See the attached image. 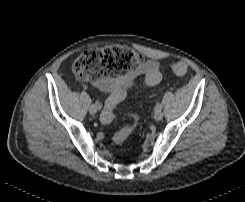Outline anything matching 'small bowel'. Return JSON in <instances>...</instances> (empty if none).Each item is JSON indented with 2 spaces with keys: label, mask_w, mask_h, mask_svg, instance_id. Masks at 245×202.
<instances>
[{
  "label": "small bowel",
  "mask_w": 245,
  "mask_h": 202,
  "mask_svg": "<svg viewBox=\"0 0 245 202\" xmlns=\"http://www.w3.org/2000/svg\"><path fill=\"white\" fill-rule=\"evenodd\" d=\"M159 74V78L155 79V74ZM131 81L142 77L143 84L146 86H154L161 79L160 64L157 60L148 59L138 61L128 75ZM91 85L102 92L108 93L106 105L111 104L113 108L127 95V91L119 89L115 86V82L110 79L98 78L89 82H82L81 86L87 87Z\"/></svg>",
  "instance_id": "c3829d8e"
}]
</instances>
